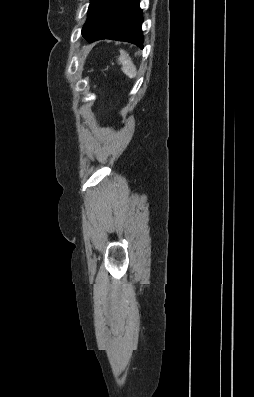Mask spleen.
<instances>
[{
    "mask_svg": "<svg viewBox=\"0 0 254 397\" xmlns=\"http://www.w3.org/2000/svg\"><path fill=\"white\" fill-rule=\"evenodd\" d=\"M118 62L122 66L121 70L125 75H127L131 79L136 77L137 74L136 66L134 65L133 61L131 60L129 54L126 51L120 50V56L118 58Z\"/></svg>",
    "mask_w": 254,
    "mask_h": 397,
    "instance_id": "spleen-1",
    "label": "spleen"
}]
</instances>
